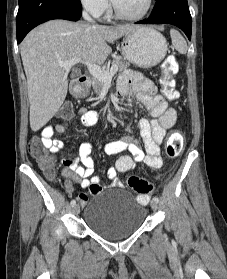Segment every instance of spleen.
<instances>
[{
	"label": "spleen",
	"mask_w": 227,
	"mask_h": 279,
	"mask_svg": "<svg viewBox=\"0 0 227 279\" xmlns=\"http://www.w3.org/2000/svg\"><path fill=\"white\" fill-rule=\"evenodd\" d=\"M170 36L175 49L181 54H186L188 47L182 35L178 31L172 29L170 31Z\"/></svg>",
	"instance_id": "spleen-1"
}]
</instances>
